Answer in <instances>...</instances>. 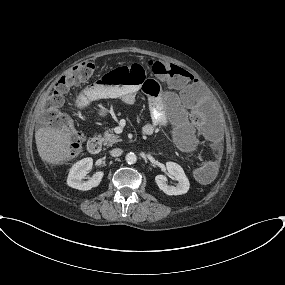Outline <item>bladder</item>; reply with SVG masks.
Returning a JSON list of instances; mask_svg holds the SVG:
<instances>
[{
    "label": "bladder",
    "instance_id": "31cf9c89",
    "mask_svg": "<svg viewBox=\"0 0 285 285\" xmlns=\"http://www.w3.org/2000/svg\"><path fill=\"white\" fill-rule=\"evenodd\" d=\"M192 138H193L192 134L183 130L181 137L176 144V147L180 151H189L193 147Z\"/></svg>",
    "mask_w": 285,
    "mask_h": 285
}]
</instances>
